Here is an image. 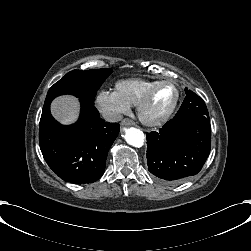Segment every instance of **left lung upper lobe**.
Returning <instances> with one entry per match:
<instances>
[{"label": "left lung upper lobe", "instance_id": "left-lung-upper-lobe-1", "mask_svg": "<svg viewBox=\"0 0 251 251\" xmlns=\"http://www.w3.org/2000/svg\"><path fill=\"white\" fill-rule=\"evenodd\" d=\"M186 98L184 99L175 117L198 114L209 117L205 102L197 94L185 88Z\"/></svg>", "mask_w": 251, "mask_h": 251}]
</instances>
